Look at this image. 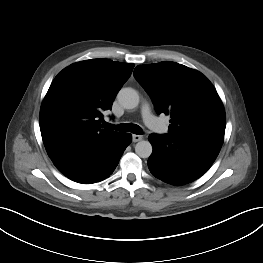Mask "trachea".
Instances as JSON below:
<instances>
[{
  "label": "trachea",
  "instance_id": "1",
  "mask_svg": "<svg viewBox=\"0 0 263 263\" xmlns=\"http://www.w3.org/2000/svg\"><path fill=\"white\" fill-rule=\"evenodd\" d=\"M108 127H112L110 125H108ZM115 130L117 131H122V132H131V133H134V134H137V135H142V129L140 126H138L137 124H129V123H123V124H120L116 127H113Z\"/></svg>",
  "mask_w": 263,
  "mask_h": 263
}]
</instances>
